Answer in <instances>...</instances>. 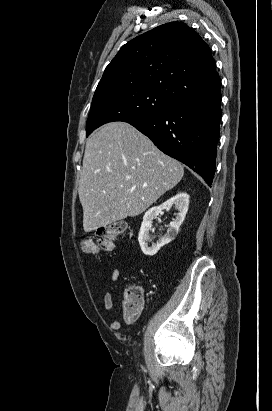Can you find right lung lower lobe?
<instances>
[{
    "label": "right lung lower lobe",
    "instance_id": "1",
    "mask_svg": "<svg viewBox=\"0 0 272 411\" xmlns=\"http://www.w3.org/2000/svg\"><path fill=\"white\" fill-rule=\"evenodd\" d=\"M221 84L177 101L164 111L130 124L165 154L197 172L209 185L215 173L221 119Z\"/></svg>",
    "mask_w": 272,
    "mask_h": 411
}]
</instances>
